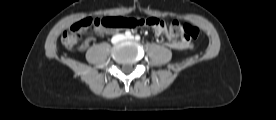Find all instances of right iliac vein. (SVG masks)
Wrapping results in <instances>:
<instances>
[{"label":"right iliac vein","mask_w":276,"mask_h":120,"mask_svg":"<svg viewBox=\"0 0 276 120\" xmlns=\"http://www.w3.org/2000/svg\"><path fill=\"white\" fill-rule=\"evenodd\" d=\"M117 39H122V36L118 37Z\"/></svg>","instance_id":"1"}]
</instances>
